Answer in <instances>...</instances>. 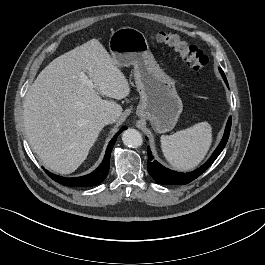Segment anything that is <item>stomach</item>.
<instances>
[{
    "mask_svg": "<svg viewBox=\"0 0 265 265\" xmlns=\"http://www.w3.org/2000/svg\"><path fill=\"white\" fill-rule=\"evenodd\" d=\"M109 50L118 67H134L140 94L136 114L148 119L158 133L170 131L183 110L173 80L157 64L146 37L135 28L123 27L112 33Z\"/></svg>",
    "mask_w": 265,
    "mask_h": 265,
    "instance_id": "stomach-1",
    "label": "stomach"
}]
</instances>
